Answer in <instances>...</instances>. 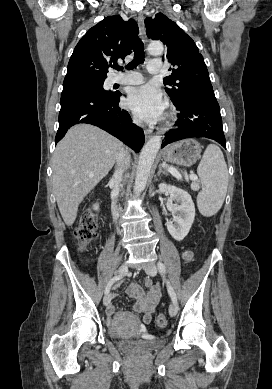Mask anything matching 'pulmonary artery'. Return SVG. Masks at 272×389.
I'll return each mask as SVG.
<instances>
[{"instance_id":"obj_1","label":"pulmonary artery","mask_w":272,"mask_h":389,"mask_svg":"<svg viewBox=\"0 0 272 389\" xmlns=\"http://www.w3.org/2000/svg\"><path fill=\"white\" fill-rule=\"evenodd\" d=\"M161 61L152 60L148 63L147 71L151 74L161 72ZM144 81L143 76L139 72H130L123 75H117L113 78V83L137 85Z\"/></svg>"}]
</instances>
